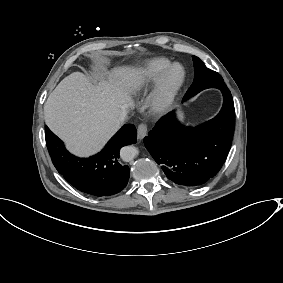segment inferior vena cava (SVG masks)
Returning a JSON list of instances; mask_svg holds the SVG:
<instances>
[{
    "label": "inferior vena cava",
    "mask_w": 283,
    "mask_h": 283,
    "mask_svg": "<svg viewBox=\"0 0 283 283\" xmlns=\"http://www.w3.org/2000/svg\"><path fill=\"white\" fill-rule=\"evenodd\" d=\"M132 104H125L118 116L120 122H124L128 118V113L132 110Z\"/></svg>",
    "instance_id": "1"
}]
</instances>
